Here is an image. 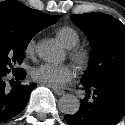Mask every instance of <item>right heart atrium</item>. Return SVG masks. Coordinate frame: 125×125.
Returning a JSON list of instances; mask_svg holds the SVG:
<instances>
[{
  "instance_id": "1",
  "label": "right heart atrium",
  "mask_w": 125,
  "mask_h": 125,
  "mask_svg": "<svg viewBox=\"0 0 125 125\" xmlns=\"http://www.w3.org/2000/svg\"><path fill=\"white\" fill-rule=\"evenodd\" d=\"M25 54L27 56H33L36 52V39L35 38H31L25 46Z\"/></svg>"
}]
</instances>
